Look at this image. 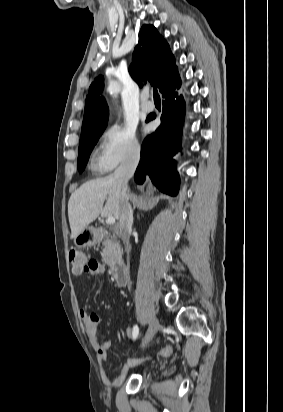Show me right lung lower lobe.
Here are the masks:
<instances>
[{
	"label": "right lung lower lobe",
	"instance_id": "right-lung-lower-lobe-1",
	"mask_svg": "<svg viewBox=\"0 0 283 412\" xmlns=\"http://www.w3.org/2000/svg\"><path fill=\"white\" fill-rule=\"evenodd\" d=\"M180 81L167 86L162 92L164 98L161 125L148 135L141 147V160L135 173L137 183H143L145 176L163 192L175 196L179 188V177L172 157L180 150L181 127L185 115V102L178 95ZM172 159V160H171Z\"/></svg>",
	"mask_w": 283,
	"mask_h": 412
}]
</instances>
